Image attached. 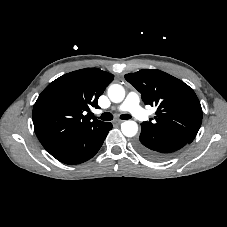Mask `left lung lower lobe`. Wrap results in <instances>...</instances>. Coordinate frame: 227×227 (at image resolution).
Returning a JSON list of instances; mask_svg holds the SVG:
<instances>
[{
	"label": "left lung lower lobe",
	"instance_id": "1",
	"mask_svg": "<svg viewBox=\"0 0 227 227\" xmlns=\"http://www.w3.org/2000/svg\"><path fill=\"white\" fill-rule=\"evenodd\" d=\"M141 127L142 131L140 137L135 141L134 147L142 156L150 160H166L172 156L175 151L189 143L180 137L150 130L142 124Z\"/></svg>",
	"mask_w": 227,
	"mask_h": 227
}]
</instances>
